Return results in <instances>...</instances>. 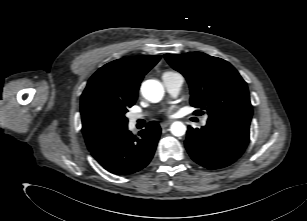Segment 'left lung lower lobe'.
I'll use <instances>...</instances> for the list:
<instances>
[{
	"label": "left lung lower lobe",
	"instance_id": "obj_1",
	"mask_svg": "<svg viewBox=\"0 0 307 221\" xmlns=\"http://www.w3.org/2000/svg\"><path fill=\"white\" fill-rule=\"evenodd\" d=\"M250 120L221 116L208 118L206 126H189L185 147L199 165L213 170L234 163L249 143Z\"/></svg>",
	"mask_w": 307,
	"mask_h": 221
}]
</instances>
